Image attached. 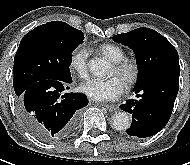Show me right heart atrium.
Here are the masks:
<instances>
[{
  "instance_id": "1",
  "label": "right heart atrium",
  "mask_w": 190,
  "mask_h": 165,
  "mask_svg": "<svg viewBox=\"0 0 190 165\" xmlns=\"http://www.w3.org/2000/svg\"><path fill=\"white\" fill-rule=\"evenodd\" d=\"M88 57L89 52L81 48L74 50L69 58L70 70L83 80L89 76Z\"/></svg>"
}]
</instances>
